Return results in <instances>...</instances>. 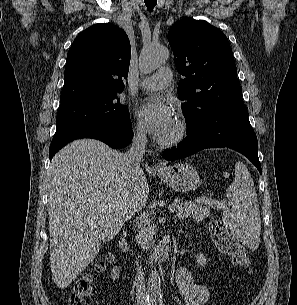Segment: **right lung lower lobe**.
<instances>
[{
  "label": "right lung lower lobe",
  "mask_w": 297,
  "mask_h": 305,
  "mask_svg": "<svg viewBox=\"0 0 297 305\" xmlns=\"http://www.w3.org/2000/svg\"><path fill=\"white\" fill-rule=\"evenodd\" d=\"M131 122L127 125L103 124L89 126L75 131L56 144H51L49 148L50 160L53 156L69 142L80 138H93L100 140L112 148L126 147L133 135Z\"/></svg>",
  "instance_id": "right-lung-lower-lobe-1"
}]
</instances>
